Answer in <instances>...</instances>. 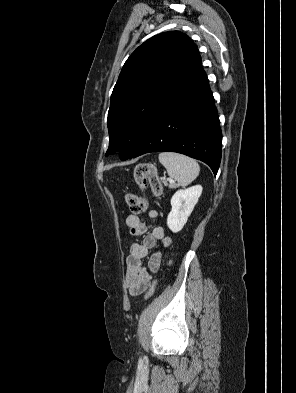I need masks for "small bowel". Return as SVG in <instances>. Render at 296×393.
<instances>
[{"label": "small bowel", "mask_w": 296, "mask_h": 393, "mask_svg": "<svg viewBox=\"0 0 296 393\" xmlns=\"http://www.w3.org/2000/svg\"><path fill=\"white\" fill-rule=\"evenodd\" d=\"M148 217L152 221H157L159 214L152 209L148 212ZM126 224L132 236H142V243H133L130 253L126 258V285L131 296H137L147 290L152 273L157 272L162 259V252L158 249L161 242L165 247L171 245V239L165 235L161 226H156L150 233L147 232L146 225L136 214H129ZM150 250L154 253L149 257L147 266H143V259L148 256Z\"/></svg>", "instance_id": "1"}]
</instances>
